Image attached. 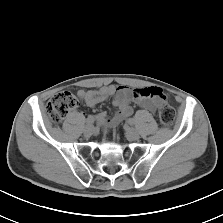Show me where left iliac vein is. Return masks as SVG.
<instances>
[{
    "instance_id": "obj_1",
    "label": "left iliac vein",
    "mask_w": 223,
    "mask_h": 223,
    "mask_svg": "<svg viewBox=\"0 0 223 223\" xmlns=\"http://www.w3.org/2000/svg\"><path fill=\"white\" fill-rule=\"evenodd\" d=\"M125 134L127 139L130 141H135L140 137L139 132L135 128H132L130 126L125 127Z\"/></svg>"
}]
</instances>
